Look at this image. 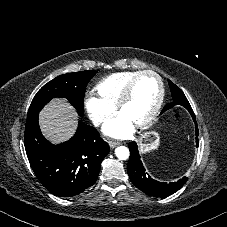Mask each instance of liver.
Instances as JSON below:
<instances>
[{
    "label": "liver",
    "instance_id": "6515ba94",
    "mask_svg": "<svg viewBox=\"0 0 227 227\" xmlns=\"http://www.w3.org/2000/svg\"><path fill=\"white\" fill-rule=\"evenodd\" d=\"M75 109L66 100H52L40 112L39 121L43 134L54 144L72 137L77 128Z\"/></svg>",
    "mask_w": 227,
    "mask_h": 227
}]
</instances>
